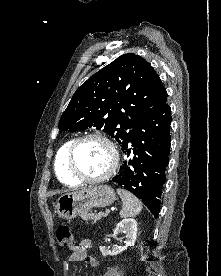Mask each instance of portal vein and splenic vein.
<instances>
[{"label":"portal vein and splenic vein","instance_id":"obj_1","mask_svg":"<svg viewBox=\"0 0 221 276\" xmlns=\"http://www.w3.org/2000/svg\"><path fill=\"white\" fill-rule=\"evenodd\" d=\"M110 213V210L109 209H106L105 210V214L108 215Z\"/></svg>","mask_w":221,"mask_h":276}]
</instances>
